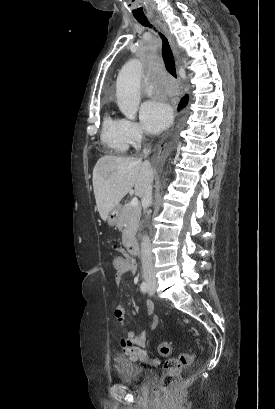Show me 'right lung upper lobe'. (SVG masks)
Returning <instances> with one entry per match:
<instances>
[{"mask_svg":"<svg viewBox=\"0 0 275 409\" xmlns=\"http://www.w3.org/2000/svg\"><path fill=\"white\" fill-rule=\"evenodd\" d=\"M187 100H188V96H185V97L181 100L180 104L186 102ZM180 104H179V105H180Z\"/></svg>","mask_w":275,"mask_h":409,"instance_id":"obj_1","label":"right lung upper lobe"}]
</instances>
